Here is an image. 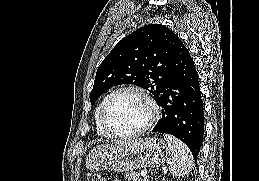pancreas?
<instances>
[{
  "mask_svg": "<svg viewBox=\"0 0 259 181\" xmlns=\"http://www.w3.org/2000/svg\"><path fill=\"white\" fill-rule=\"evenodd\" d=\"M125 179L128 181H142L140 175L135 171L126 172Z\"/></svg>",
  "mask_w": 259,
  "mask_h": 181,
  "instance_id": "obj_1",
  "label": "pancreas"
}]
</instances>
